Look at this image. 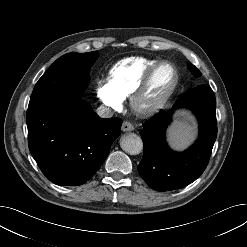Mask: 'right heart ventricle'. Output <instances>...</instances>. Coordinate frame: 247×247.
<instances>
[{"label": "right heart ventricle", "mask_w": 247, "mask_h": 247, "mask_svg": "<svg viewBox=\"0 0 247 247\" xmlns=\"http://www.w3.org/2000/svg\"><path fill=\"white\" fill-rule=\"evenodd\" d=\"M158 60L135 56L125 58L111 69L109 82L123 99L128 98L142 78L143 74Z\"/></svg>", "instance_id": "1"}]
</instances>
